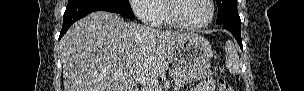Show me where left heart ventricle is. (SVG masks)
<instances>
[{"label": "left heart ventricle", "instance_id": "left-heart-ventricle-1", "mask_svg": "<svg viewBox=\"0 0 304 91\" xmlns=\"http://www.w3.org/2000/svg\"><path fill=\"white\" fill-rule=\"evenodd\" d=\"M178 15L188 24H199L208 19L210 6L207 0H182L178 4Z\"/></svg>", "mask_w": 304, "mask_h": 91}]
</instances>
